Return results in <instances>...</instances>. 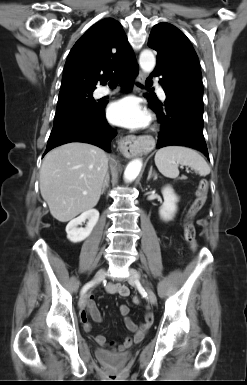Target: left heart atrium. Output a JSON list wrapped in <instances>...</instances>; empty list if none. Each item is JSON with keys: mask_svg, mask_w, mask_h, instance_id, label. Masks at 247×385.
Wrapping results in <instances>:
<instances>
[{"mask_svg": "<svg viewBox=\"0 0 247 385\" xmlns=\"http://www.w3.org/2000/svg\"><path fill=\"white\" fill-rule=\"evenodd\" d=\"M107 117L115 125L140 129L149 124V113L134 97H125L112 102L107 108Z\"/></svg>", "mask_w": 247, "mask_h": 385, "instance_id": "left-heart-atrium-1", "label": "left heart atrium"}]
</instances>
